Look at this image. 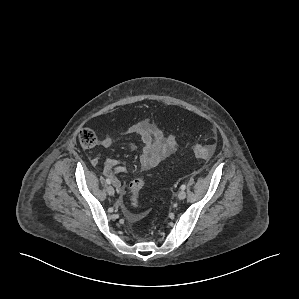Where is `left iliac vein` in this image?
Wrapping results in <instances>:
<instances>
[{"label": "left iliac vein", "mask_w": 299, "mask_h": 299, "mask_svg": "<svg viewBox=\"0 0 299 299\" xmlns=\"http://www.w3.org/2000/svg\"><path fill=\"white\" fill-rule=\"evenodd\" d=\"M178 198H179L180 200L185 199V198H186V192H185L184 190L179 191V193H178Z\"/></svg>", "instance_id": "obj_1"}]
</instances>
